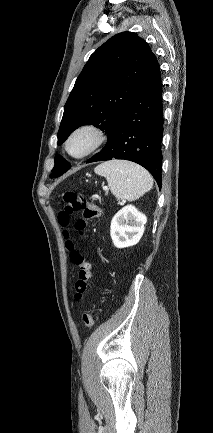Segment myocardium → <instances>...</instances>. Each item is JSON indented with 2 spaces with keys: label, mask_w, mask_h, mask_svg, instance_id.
I'll use <instances>...</instances> for the list:
<instances>
[{
  "label": "myocardium",
  "mask_w": 213,
  "mask_h": 433,
  "mask_svg": "<svg viewBox=\"0 0 213 433\" xmlns=\"http://www.w3.org/2000/svg\"><path fill=\"white\" fill-rule=\"evenodd\" d=\"M82 134L89 135L91 137V143L83 153L74 155L70 151V143L76 136ZM104 141L105 135L100 127L93 123H85L77 126L70 132L65 142V150L72 158L82 159L94 153L104 143Z\"/></svg>",
  "instance_id": "1"
}]
</instances>
